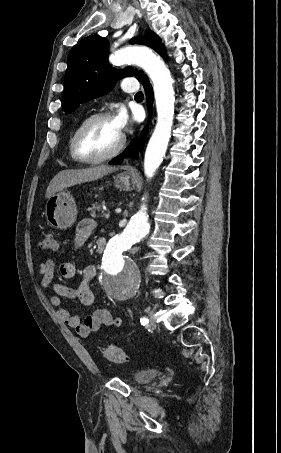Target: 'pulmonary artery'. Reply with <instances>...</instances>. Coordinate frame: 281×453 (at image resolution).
Instances as JSON below:
<instances>
[{
  "mask_svg": "<svg viewBox=\"0 0 281 453\" xmlns=\"http://www.w3.org/2000/svg\"><path fill=\"white\" fill-rule=\"evenodd\" d=\"M130 79H133V78H125L122 82H121V88L124 90V91H130V89L124 84V82L126 80H130Z\"/></svg>",
  "mask_w": 281,
  "mask_h": 453,
  "instance_id": "1",
  "label": "pulmonary artery"
}]
</instances>
